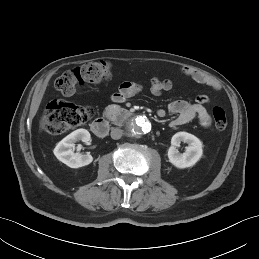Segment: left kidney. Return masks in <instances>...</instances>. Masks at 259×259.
Segmentation results:
<instances>
[{
    "mask_svg": "<svg viewBox=\"0 0 259 259\" xmlns=\"http://www.w3.org/2000/svg\"><path fill=\"white\" fill-rule=\"evenodd\" d=\"M181 142L188 146L184 153H180L176 147ZM202 142L194 135L187 132H178L171 139V147L168 150L169 162L177 168L183 169L195 165L202 157Z\"/></svg>",
    "mask_w": 259,
    "mask_h": 259,
    "instance_id": "obj_1",
    "label": "left kidney"
}]
</instances>
